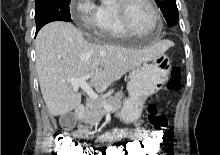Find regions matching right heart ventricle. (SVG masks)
Returning a JSON list of instances; mask_svg holds the SVG:
<instances>
[{
    "mask_svg": "<svg viewBox=\"0 0 220 155\" xmlns=\"http://www.w3.org/2000/svg\"><path fill=\"white\" fill-rule=\"evenodd\" d=\"M100 16L102 20V27L99 35L104 39H120L127 38L131 34L123 27L116 4H102L100 6Z\"/></svg>",
    "mask_w": 220,
    "mask_h": 155,
    "instance_id": "e07e8e85",
    "label": "right heart ventricle"
}]
</instances>
